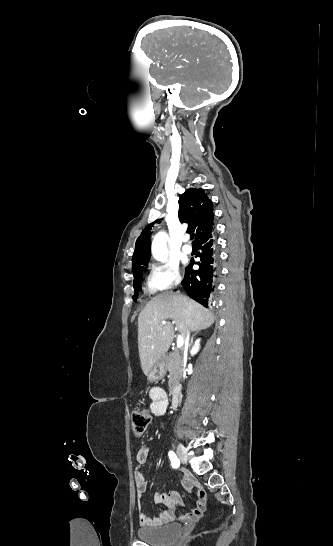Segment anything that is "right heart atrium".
<instances>
[{"mask_svg": "<svg viewBox=\"0 0 333 546\" xmlns=\"http://www.w3.org/2000/svg\"><path fill=\"white\" fill-rule=\"evenodd\" d=\"M182 281L179 267L174 262H161L153 265L146 279L149 293H158L177 288Z\"/></svg>", "mask_w": 333, "mask_h": 546, "instance_id": "1", "label": "right heart atrium"}]
</instances>
